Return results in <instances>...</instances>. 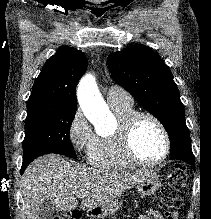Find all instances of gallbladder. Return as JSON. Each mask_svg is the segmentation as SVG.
Listing matches in <instances>:
<instances>
[{"label": "gallbladder", "mask_w": 211, "mask_h": 219, "mask_svg": "<svg viewBox=\"0 0 211 219\" xmlns=\"http://www.w3.org/2000/svg\"><path fill=\"white\" fill-rule=\"evenodd\" d=\"M56 208L51 200L43 201L38 209L39 219H52Z\"/></svg>", "instance_id": "gallbladder-1"}]
</instances>
